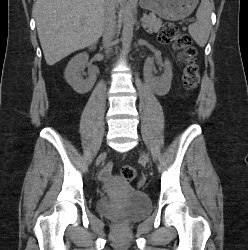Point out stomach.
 <instances>
[{
  "instance_id": "obj_1",
  "label": "stomach",
  "mask_w": 248,
  "mask_h": 250,
  "mask_svg": "<svg viewBox=\"0 0 248 250\" xmlns=\"http://www.w3.org/2000/svg\"><path fill=\"white\" fill-rule=\"evenodd\" d=\"M139 4L164 19L177 21L192 13L198 0H140Z\"/></svg>"
}]
</instances>
